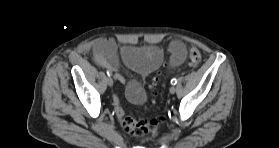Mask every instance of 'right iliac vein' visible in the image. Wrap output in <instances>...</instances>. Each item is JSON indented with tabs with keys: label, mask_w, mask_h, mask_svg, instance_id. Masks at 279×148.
Segmentation results:
<instances>
[{
	"label": "right iliac vein",
	"mask_w": 279,
	"mask_h": 148,
	"mask_svg": "<svg viewBox=\"0 0 279 148\" xmlns=\"http://www.w3.org/2000/svg\"><path fill=\"white\" fill-rule=\"evenodd\" d=\"M106 81H107V84H108L110 87L113 86V79H112L110 76L107 77Z\"/></svg>",
	"instance_id": "obj_1"
}]
</instances>
